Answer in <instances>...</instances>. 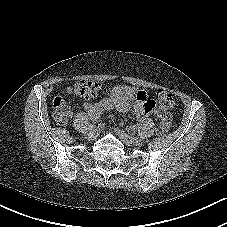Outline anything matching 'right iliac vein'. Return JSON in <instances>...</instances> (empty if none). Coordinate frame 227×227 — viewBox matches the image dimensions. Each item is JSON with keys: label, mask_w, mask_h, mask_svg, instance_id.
Here are the masks:
<instances>
[{"label": "right iliac vein", "mask_w": 227, "mask_h": 227, "mask_svg": "<svg viewBox=\"0 0 227 227\" xmlns=\"http://www.w3.org/2000/svg\"><path fill=\"white\" fill-rule=\"evenodd\" d=\"M98 135V130L96 127H94L93 125L88 128V131L85 134V138L88 140H93L97 137Z\"/></svg>", "instance_id": "63e3f726"}]
</instances>
